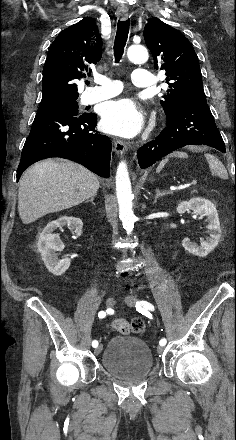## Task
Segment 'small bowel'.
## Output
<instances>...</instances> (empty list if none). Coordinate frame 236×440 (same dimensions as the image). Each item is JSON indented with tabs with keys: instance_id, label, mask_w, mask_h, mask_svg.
I'll return each instance as SVG.
<instances>
[{
	"instance_id": "c3829d8e",
	"label": "small bowel",
	"mask_w": 236,
	"mask_h": 440,
	"mask_svg": "<svg viewBox=\"0 0 236 440\" xmlns=\"http://www.w3.org/2000/svg\"><path fill=\"white\" fill-rule=\"evenodd\" d=\"M112 327L115 333H121V337H126V332L124 330H128L129 324L128 321H123L121 319L114 320L112 322Z\"/></svg>"
}]
</instances>
